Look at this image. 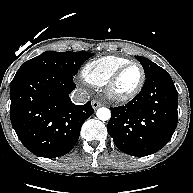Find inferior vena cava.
Returning <instances> with one entry per match:
<instances>
[{
    "instance_id": "inferior-vena-cava-1",
    "label": "inferior vena cava",
    "mask_w": 193,
    "mask_h": 193,
    "mask_svg": "<svg viewBox=\"0 0 193 193\" xmlns=\"http://www.w3.org/2000/svg\"><path fill=\"white\" fill-rule=\"evenodd\" d=\"M89 99L90 96L87 91L81 88L74 90L71 95L72 102L78 105L86 103L87 101H89Z\"/></svg>"
}]
</instances>
